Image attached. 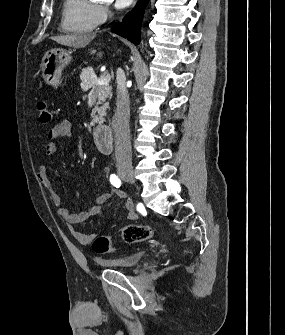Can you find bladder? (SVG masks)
I'll return each mask as SVG.
<instances>
[{
  "mask_svg": "<svg viewBox=\"0 0 285 335\" xmlns=\"http://www.w3.org/2000/svg\"><path fill=\"white\" fill-rule=\"evenodd\" d=\"M144 257V251H133L119 257L95 258V265H103L110 270V265H134L137 268Z\"/></svg>",
  "mask_w": 285,
  "mask_h": 335,
  "instance_id": "31cf9c89",
  "label": "bladder"
}]
</instances>
